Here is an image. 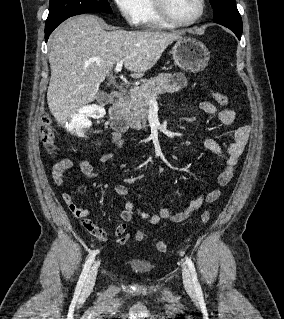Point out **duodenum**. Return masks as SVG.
<instances>
[{
    "label": "duodenum",
    "mask_w": 284,
    "mask_h": 319,
    "mask_svg": "<svg viewBox=\"0 0 284 319\" xmlns=\"http://www.w3.org/2000/svg\"><path fill=\"white\" fill-rule=\"evenodd\" d=\"M124 96L120 92H113L110 96L109 118L111 127L118 133H124L129 129L128 122L122 113Z\"/></svg>",
    "instance_id": "duodenum-1"
}]
</instances>
